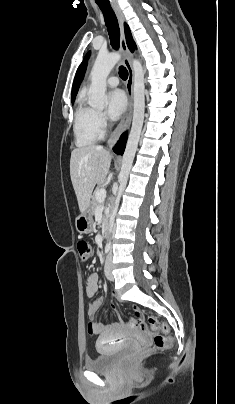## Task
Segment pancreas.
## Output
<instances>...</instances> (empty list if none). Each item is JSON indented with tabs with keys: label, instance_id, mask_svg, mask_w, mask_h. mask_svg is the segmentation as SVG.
<instances>
[{
	"label": "pancreas",
	"instance_id": "obj_1",
	"mask_svg": "<svg viewBox=\"0 0 235 404\" xmlns=\"http://www.w3.org/2000/svg\"><path fill=\"white\" fill-rule=\"evenodd\" d=\"M99 189H101V188H98L97 190H99ZM96 190V191H97ZM95 191V192H96ZM105 201L103 200V201H98L97 199H96V196H95V193H94V195H93V198H92V203H91V211H92V214H95V212H96V210L98 209V208H105ZM105 217H107V214H105Z\"/></svg>",
	"mask_w": 235,
	"mask_h": 404
}]
</instances>
